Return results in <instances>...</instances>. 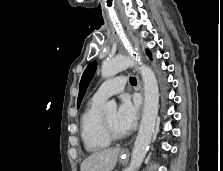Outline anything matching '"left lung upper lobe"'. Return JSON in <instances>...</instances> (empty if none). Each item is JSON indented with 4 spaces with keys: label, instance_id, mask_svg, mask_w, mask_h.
I'll return each mask as SVG.
<instances>
[{
    "label": "left lung upper lobe",
    "instance_id": "obj_1",
    "mask_svg": "<svg viewBox=\"0 0 223 171\" xmlns=\"http://www.w3.org/2000/svg\"><path fill=\"white\" fill-rule=\"evenodd\" d=\"M96 67H97V62L96 61H93L91 62L87 68L85 69L83 75H82V78H81V81H80V85H79V95H78V99H77V107L79 108L80 106V103L82 101V98L86 92V89L90 83V81L92 80L93 78V75L95 73V70H96Z\"/></svg>",
    "mask_w": 223,
    "mask_h": 171
}]
</instances>
